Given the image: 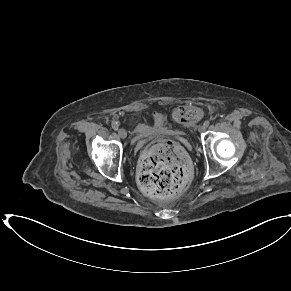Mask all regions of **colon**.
Segmentation results:
<instances>
[{
	"mask_svg": "<svg viewBox=\"0 0 291 291\" xmlns=\"http://www.w3.org/2000/svg\"><path fill=\"white\" fill-rule=\"evenodd\" d=\"M182 125H190L201 118V111L193 105L181 106L172 113ZM190 167L184 151L170 141L151 144L144 152L139 168L138 183L152 197L166 198L182 191L189 182Z\"/></svg>",
	"mask_w": 291,
	"mask_h": 291,
	"instance_id": "obj_1",
	"label": "colon"
}]
</instances>
